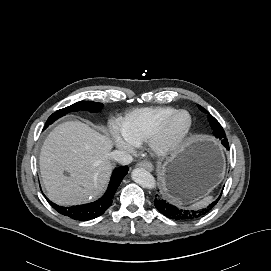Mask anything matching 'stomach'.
Segmentation results:
<instances>
[{
  "instance_id": "obj_1",
  "label": "stomach",
  "mask_w": 271,
  "mask_h": 271,
  "mask_svg": "<svg viewBox=\"0 0 271 271\" xmlns=\"http://www.w3.org/2000/svg\"><path fill=\"white\" fill-rule=\"evenodd\" d=\"M223 171L221 148L206 137H193L159 167L158 177L171 200H196L220 182Z\"/></svg>"
}]
</instances>
